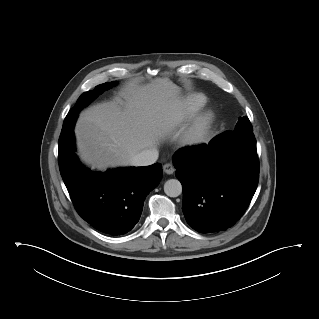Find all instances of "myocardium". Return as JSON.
Wrapping results in <instances>:
<instances>
[{
    "label": "myocardium",
    "instance_id": "1",
    "mask_svg": "<svg viewBox=\"0 0 319 319\" xmlns=\"http://www.w3.org/2000/svg\"><path fill=\"white\" fill-rule=\"evenodd\" d=\"M216 115L211 110H206L199 114L193 125L186 134V140L190 144H200L204 142L211 128L216 123Z\"/></svg>",
    "mask_w": 319,
    "mask_h": 319
}]
</instances>
